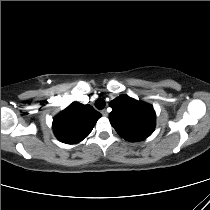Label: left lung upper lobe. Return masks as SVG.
<instances>
[{"mask_svg":"<svg viewBox=\"0 0 210 210\" xmlns=\"http://www.w3.org/2000/svg\"><path fill=\"white\" fill-rule=\"evenodd\" d=\"M109 120L118 134L128 141H141L150 136L155 126L152 106L121 95L109 103Z\"/></svg>","mask_w":210,"mask_h":210,"instance_id":"left-lung-upper-lobe-1","label":"left lung upper lobe"}]
</instances>
